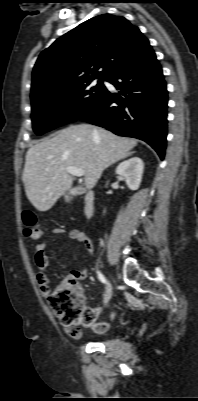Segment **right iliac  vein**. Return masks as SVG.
I'll list each match as a JSON object with an SVG mask.
<instances>
[{
	"label": "right iliac vein",
	"instance_id": "63e3f726",
	"mask_svg": "<svg viewBox=\"0 0 198 401\" xmlns=\"http://www.w3.org/2000/svg\"><path fill=\"white\" fill-rule=\"evenodd\" d=\"M113 295V287L110 282L107 283L106 292H105V300L108 301Z\"/></svg>",
	"mask_w": 198,
	"mask_h": 401
}]
</instances>
